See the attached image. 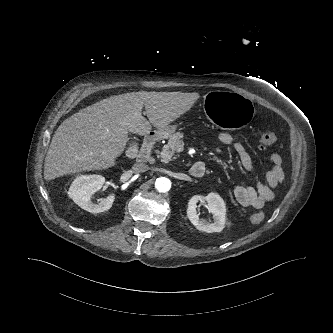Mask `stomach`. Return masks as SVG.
Segmentation results:
<instances>
[{"instance_id":"0dacf381","label":"stomach","mask_w":333,"mask_h":333,"mask_svg":"<svg viewBox=\"0 0 333 333\" xmlns=\"http://www.w3.org/2000/svg\"><path fill=\"white\" fill-rule=\"evenodd\" d=\"M205 117L225 129L241 128L247 125L253 116L250 101L241 95H231L224 90L208 93L202 102ZM178 128V124L158 129L164 138L170 137Z\"/></svg>"}]
</instances>
